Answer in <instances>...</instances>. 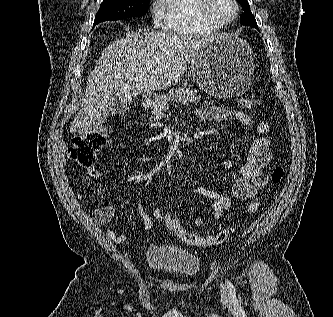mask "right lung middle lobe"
Masks as SVG:
<instances>
[{
    "instance_id": "dd1d6c3e",
    "label": "right lung middle lobe",
    "mask_w": 333,
    "mask_h": 317,
    "mask_svg": "<svg viewBox=\"0 0 333 317\" xmlns=\"http://www.w3.org/2000/svg\"><path fill=\"white\" fill-rule=\"evenodd\" d=\"M150 0H103L93 26L108 20H119L144 15Z\"/></svg>"
}]
</instances>
